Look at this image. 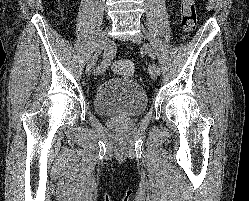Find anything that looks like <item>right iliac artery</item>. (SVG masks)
Listing matches in <instances>:
<instances>
[{"instance_id": "obj_1", "label": "right iliac artery", "mask_w": 249, "mask_h": 201, "mask_svg": "<svg viewBox=\"0 0 249 201\" xmlns=\"http://www.w3.org/2000/svg\"><path fill=\"white\" fill-rule=\"evenodd\" d=\"M111 53L112 52L110 49H105L104 55H103L104 59H103L101 65L95 69L96 74H101V73L105 72V70L108 68V66L110 65V61H111Z\"/></svg>"}]
</instances>
